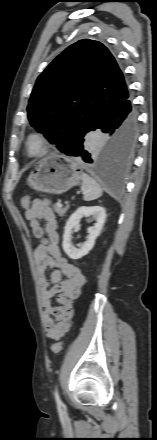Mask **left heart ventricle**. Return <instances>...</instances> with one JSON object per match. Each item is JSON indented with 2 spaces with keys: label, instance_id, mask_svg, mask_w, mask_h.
Wrapping results in <instances>:
<instances>
[{
  "label": "left heart ventricle",
  "instance_id": "left-heart-ventricle-1",
  "mask_svg": "<svg viewBox=\"0 0 157 440\" xmlns=\"http://www.w3.org/2000/svg\"><path fill=\"white\" fill-rule=\"evenodd\" d=\"M40 149H41V145L37 140L34 139L30 142V150L32 152H38Z\"/></svg>",
  "mask_w": 157,
  "mask_h": 440
}]
</instances>
